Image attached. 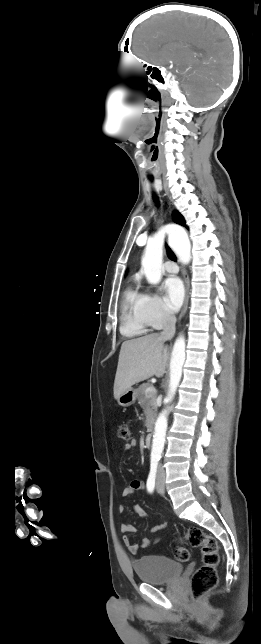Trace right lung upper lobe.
<instances>
[{"label": "right lung upper lobe", "instance_id": "right-lung-upper-lobe-1", "mask_svg": "<svg viewBox=\"0 0 261 644\" xmlns=\"http://www.w3.org/2000/svg\"><path fill=\"white\" fill-rule=\"evenodd\" d=\"M173 219L177 224L185 226V220H184L183 216L178 211L173 213Z\"/></svg>", "mask_w": 261, "mask_h": 644}]
</instances>
